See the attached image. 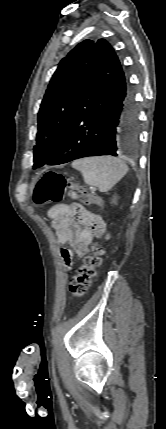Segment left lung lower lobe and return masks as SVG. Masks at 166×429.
<instances>
[{"instance_id":"left-lung-lower-lobe-1","label":"left lung lower lobe","mask_w":166,"mask_h":429,"mask_svg":"<svg viewBox=\"0 0 166 429\" xmlns=\"http://www.w3.org/2000/svg\"><path fill=\"white\" fill-rule=\"evenodd\" d=\"M139 135L134 92L110 44L96 42L89 77L47 165L132 152Z\"/></svg>"}]
</instances>
